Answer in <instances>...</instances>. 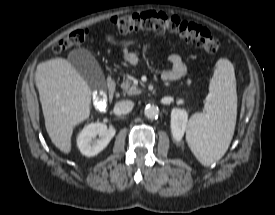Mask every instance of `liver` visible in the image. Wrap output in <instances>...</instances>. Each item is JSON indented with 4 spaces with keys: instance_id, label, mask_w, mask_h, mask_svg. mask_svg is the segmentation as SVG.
Masks as SVG:
<instances>
[{
    "instance_id": "liver-1",
    "label": "liver",
    "mask_w": 275,
    "mask_h": 215,
    "mask_svg": "<svg viewBox=\"0 0 275 215\" xmlns=\"http://www.w3.org/2000/svg\"><path fill=\"white\" fill-rule=\"evenodd\" d=\"M36 86L52 143L63 153L71 151V137L76 125L88 119L91 89L86 80L63 58L38 64Z\"/></svg>"
}]
</instances>
